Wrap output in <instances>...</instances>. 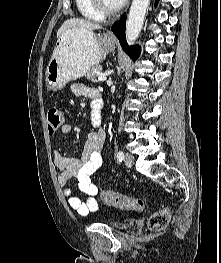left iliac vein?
I'll use <instances>...</instances> for the list:
<instances>
[{"instance_id": "obj_1", "label": "left iliac vein", "mask_w": 221, "mask_h": 263, "mask_svg": "<svg viewBox=\"0 0 221 263\" xmlns=\"http://www.w3.org/2000/svg\"><path fill=\"white\" fill-rule=\"evenodd\" d=\"M125 164L127 166H132L134 164V157L130 153H126L125 155Z\"/></svg>"}]
</instances>
